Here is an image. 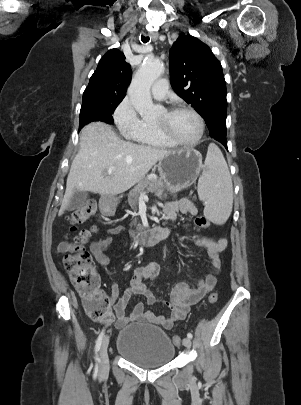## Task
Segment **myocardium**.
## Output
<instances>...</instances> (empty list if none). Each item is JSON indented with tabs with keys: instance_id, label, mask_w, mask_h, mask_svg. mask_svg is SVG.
Listing matches in <instances>:
<instances>
[{
	"instance_id": "myocardium-1",
	"label": "myocardium",
	"mask_w": 301,
	"mask_h": 405,
	"mask_svg": "<svg viewBox=\"0 0 301 405\" xmlns=\"http://www.w3.org/2000/svg\"><path fill=\"white\" fill-rule=\"evenodd\" d=\"M165 111L168 114H173V113L179 112V111L190 112L191 114H193L195 116V118L198 121L199 132L194 140L182 141V140L176 138L173 134H171L164 124L154 123L155 129L161 137H163L165 140L172 143L173 145L185 146V147L195 146L201 141V139L203 138L204 132H205V123H204L203 117L200 115V113L197 110H195L194 108L187 106V105H177L172 108H168Z\"/></svg>"
}]
</instances>
